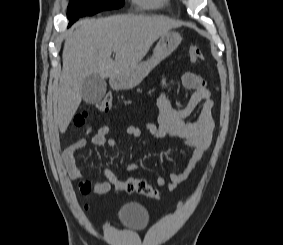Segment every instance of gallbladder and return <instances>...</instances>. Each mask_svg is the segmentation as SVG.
<instances>
[{
    "label": "gallbladder",
    "mask_w": 283,
    "mask_h": 245,
    "mask_svg": "<svg viewBox=\"0 0 283 245\" xmlns=\"http://www.w3.org/2000/svg\"><path fill=\"white\" fill-rule=\"evenodd\" d=\"M107 84L99 74L87 76L82 84V98L88 104L100 102L106 93Z\"/></svg>",
    "instance_id": "1"
}]
</instances>
